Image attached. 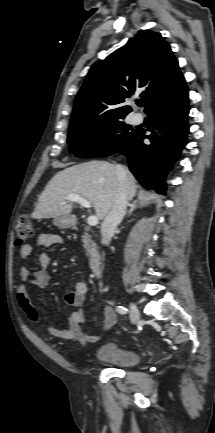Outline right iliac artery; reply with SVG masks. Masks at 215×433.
Wrapping results in <instances>:
<instances>
[{
  "mask_svg": "<svg viewBox=\"0 0 215 433\" xmlns=\"http://www.w3.org/2000/svg\"><path fill=\"white\" fill-rule=\"evenodd\" d=\"M116 311L120 314H127L128 313V309L123 307V306H117Z\"/></svg>",
  "mask_w": 215,
  "mask_h": 433,
  "instance_id": "82829eb1",
  "label": "right iliac artery"
}]
</instances>
